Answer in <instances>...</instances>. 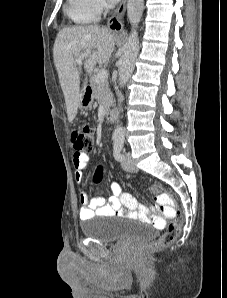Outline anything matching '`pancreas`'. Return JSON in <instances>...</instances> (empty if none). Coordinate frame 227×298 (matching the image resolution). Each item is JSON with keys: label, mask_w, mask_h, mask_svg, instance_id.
Here are the masks:
<instances>
[{"label": "pancreas", "mask_w": 227, "mask_h": 298, "mask_svg": "<svg viewBox=\"0 0 227 298\" xmlns=\"http://www.w3.org/2000/svg\"><path fill=\"white\" fill-rule=\"evenodd\" d=\"M95 77L96 75H93L91 78L93 97L104 107L105 111H108L114 101L113 94L109 89V83L107 80L97 83Z\"/></svg>", "instance_id": "pancreas-1"}]
</instances>
